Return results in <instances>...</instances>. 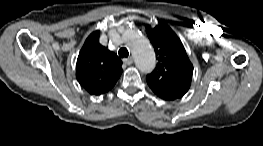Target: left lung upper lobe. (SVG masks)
<instances>
[{"label":"left lung upper lobe","mask_w":263,"mask_h":146,"mask_svg":"<svg viewBox=\"0 0 263 146\" xmlns=\"http://www.w3.org/2000/svg\"><path fill=\"white\" fill-rule=\"evenodd\" d=\"M158 63L147 75L151 90L163 100L182 97L190 88L193 65L178 36L166 25L151 28L146 25Z\"/></svg>","instance_id":"left-lung-upper-lobe-1"}]
</instances>
